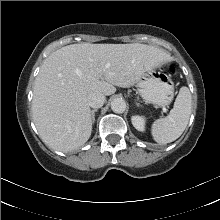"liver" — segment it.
<instances>
[{
  "mask_svg": "<svg viewBox=\"0 0 220 220\" xmlns=\"http://www.w3.org/2000/svg\"><path fill=\"white\" fill-rule=\"evenodd\" d=\"M171 60L164 50L139 43H81L54 51L33 89V120L42 141L63 152L79 148L92 131L90 93L109 96L116 86L131 87L145 72Z\"/></svg>",
  "mask_w": 220,
  "mask_h": 220,
  "instance_id": "1",
  "label": "liver"
}]
</instances>
